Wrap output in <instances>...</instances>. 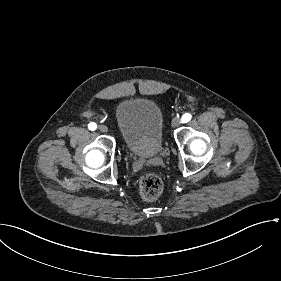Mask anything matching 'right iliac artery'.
I'll list each match as a JSON object with an SVG mask.
<instances>
[{
	"label": "right iliac artery",
	"mask_w": 281,
	"mask_h": 281,
	"mask_svg": "<svg viewBox=\"0 0 281 281\" xmlns=\"http://www.w3.org/2000/svg\"><path fill=\"white\" fill-rule=\"evenodd\" d=\"M88 128H89L90 130H95V129L97 128V125H96L95 123H90V124L88 125Z\"/></svg>",
	"instance_id": "82829eb1"
}]
</instances>
